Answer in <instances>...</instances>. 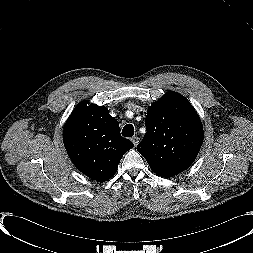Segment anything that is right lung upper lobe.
Instances as JSON below:
<instances>
[{
  "label": "right lung upper lobe",
  "instance_id": "right-lung-upper-lobe-1",
  "mask_svg": "<svg viewBox=\"0 0 253 253\" xmlns=\"http://www.w3.org/2000/svg\"><path fill=\"white\" fill-rule=\"evenodd\" d=\"M63 142L73 164L98 182L109 180L133 143L120 135L119 123L105 106L83 101L76 106L63 130Z\"/></svg>",
  "mask_w": 253,
  "mask_h": 253
}]
</instances>
